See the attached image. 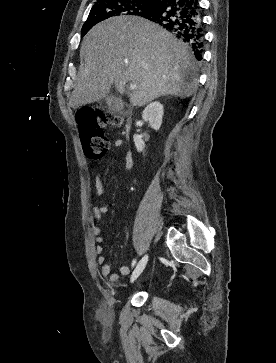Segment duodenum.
Returning a JSON list of instances; mask_svg holds the SVG:
<instances>
[{"label":"duodenum","instance_id":"obj_1","mask_svg":"<svg viewBox=\"0 0 276 363\" xmlns=\"http://www.w3.org/2000/svg\"><path fill=\"white\" fill-rule=\"evenodd\" d=\"M128 117H129V119H128V121H127V123H126V125H125V129H124V134H125L126 136L128 135V132H129L130 127H131V124H130V117H131V114H128Z\"/></svg>","mask_w":276,"mask_h":363}]
</instances>
